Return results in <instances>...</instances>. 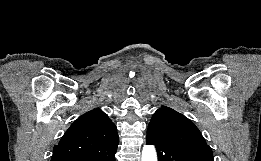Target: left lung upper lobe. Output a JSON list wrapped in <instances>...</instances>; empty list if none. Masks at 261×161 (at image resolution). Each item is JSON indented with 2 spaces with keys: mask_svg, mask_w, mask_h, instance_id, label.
<instances>
[{
  "mask_svg": "<svg viewBox=\"0 0 261 161\" xmlns=\"http://www.w3.org/2000/svg\"><path fill=\"white\" fill-rule=\"evenodd\" d=\"M147 140L213 155L198 128L187 117L166 106L154 113L147 129Z\"/></svg>",
  "mask_w": 261,
  "mask_h": 161,
  "instance_id": "left-lung-upper-lobe-1",
  "label": "left lung upper lobe"
}]
</instances>
